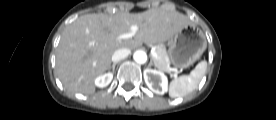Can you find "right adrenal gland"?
<instances>
[{
  "label": "right adrenal gland",
  "mask_w": 276,
  "mask_h": 120,
  "mask_svg": "<svg viewBox=\"0 0 276 120\" xmlns=\"http://www.w3.org/2000/svg\"><path fill=\"white\" fill-rule=\"evenodd\" d=\"M116 64H117V62H115V63L112 64V70H113V72L115 71Z\"/></svg>",
  "instance_id": "obj_1"
}]
</instances>
